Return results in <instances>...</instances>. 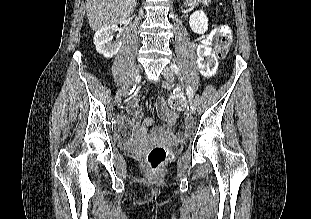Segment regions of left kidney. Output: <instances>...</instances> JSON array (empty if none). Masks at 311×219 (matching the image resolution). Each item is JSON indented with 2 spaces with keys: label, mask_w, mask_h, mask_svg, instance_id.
Returning a JSON list of instances; mask_svg holds the SVG:
<instances>
[{
  "label": "left kidney",
  "mask_w": 311,
  "mask_h": 219,
  "mask_svg": "<svg viewBox=\"0 0 311 219\" xmlns=\"http://www.w3.org/2000/svg\"><path fill=\"white\" fill-rule=\"evenodd\" d=\"M190 28L194 33L204 34L208 29V18L203 10L194 12L189 19Z\"/></svg>",
  "instance_id": "obj_1"
}]
</instances>
